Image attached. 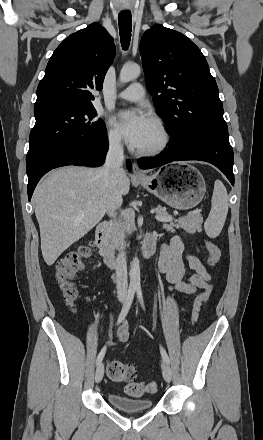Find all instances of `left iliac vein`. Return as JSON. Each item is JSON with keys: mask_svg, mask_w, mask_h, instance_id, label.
I'll list each match as a JSON object with an SVG mask.
<instances>
[{"mask_svg": "<svg viewBox=\"0 0 263 440\" xmlns=\"http://www.w3.org/2000/svg\"><path fill=\"white\" fill-rule=\"evenodd\" d=\"M162 374L166 382H170L172 379V371L168 363L164 362L162 364Z\"/></svg>", "mask_w": 263, "mask_h": 440, "instance_id": "obj_1", "label": "left iliac vein"}]
</instances>
